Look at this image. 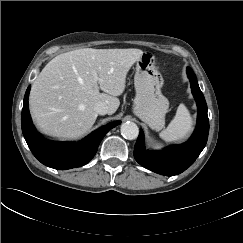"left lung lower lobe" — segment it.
<instances>
[{
	"instance_id": "obj_1",
	"label": "left lung lower lobe",
	"mask_w": 243,
	"mask_h": 243,
	"mask_svg": "<svg viewBox=\"0 0 243 243\" xmlns=\"http://www.w3.org/2000/svg\"><path fill=\"white\" fill-rule=\"evenodd\" d=\"M187 74L198 107L197 126L191 138L184 144L170 146L164 151H149L145 149L144 134L140 130V135L134 147V158L140 165L165 176L180 174L190 167L204 149L208 139L207 104L196 76L189 67Z\"/></svg>"
}]
</instances>
